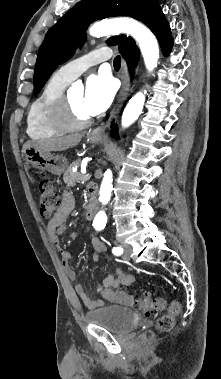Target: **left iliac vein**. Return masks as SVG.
<instances>
[{"label":"left iliac vein","mask_w":221,"mask_h":379,"mask_svg":"<svg viewBox=\"0 0 221 379\" xmlns=\"http://www.w3.org/2000/svg\"><path fill=\"white\" fill-rule=\"evenodd\" d=\"M123 249H124V253H123V259L125 261H129L130 260V254H131V247L127 244H123Z\"/></svg>","instance_id":"left-iliac-vein-1"}]
</instances>
